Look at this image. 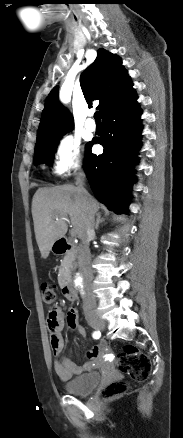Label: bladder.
Here are the masks:
<instances>
[{"mask_svg": "<svg viewBox=\"0 0 183 438\" xmlns=\"http://www.w3.org/2000/svg\"><path fill=\"white\" fill-rule=\"evenodd\" d=\"M100 380V373H83L66 382L64 389L72 395H88L97 387Z\"/></svg>", "mask_w": 183, "mask_h": 438, "instance_id": "31cf9c89", "label": "bladder"}]
</instances>
